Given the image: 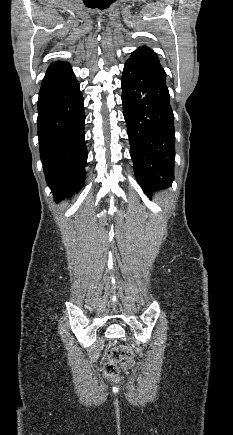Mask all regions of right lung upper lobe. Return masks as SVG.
<instances>
[{
  "instance_id": "cb5924a9",
  "label": "right lung upper lobe",
  "mask_w": 233,
  "mask_h": 435,
  "mask_svg": "<svg viewBox=\"0 0 233 435\" xmlns=\"http://www.w3.org/2000/svg\"><path fill=\"white\" fill-rule=\"evenodd\" d=\"M70 73L73 72H72V67L68 62H63V61L53 62L47 69L41 87L46 86L52 82L58 81Z\"/></svg>"
}]
</instances>
